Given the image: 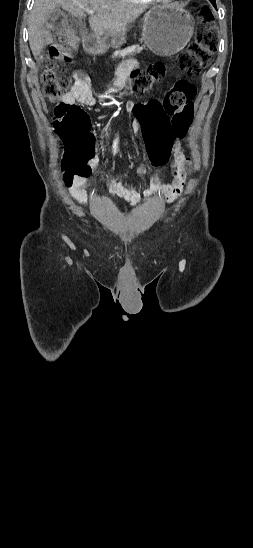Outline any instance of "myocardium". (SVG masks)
<instances>
[{
  "label": "myocardium",
  "mask_w": 253,
  "mask_h": 548,
  "mask_svg": "<svg viewBox=\"0 0 253 548\" xmlns=\"http://www.w3.org/2000/svg\"><path fill=\"white\" fill-rule=\"evenodd\" d=\"M153 1L168 3V2H172L174 0H153Z\"/></svg>",
  "instance_id": "f54148a6"
}]
</instances>
